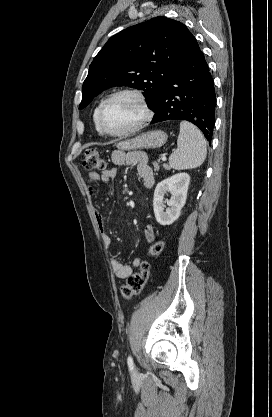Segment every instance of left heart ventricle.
Segmentation results:
<instances>
[{"mask_svg":"<svg viewBox=\"0 0 272 417\" xmlns=\"http://www.w3.org/2000/svg\"><path fill=\"white\" fill-rule=\"evenodd\" d=\"M142 116L141 105L134 97L120 96L106 107L103 125L110 132H120L138 123Z\"/></svg>","mask_w":272,"mask_h":417,"instance_id":"obj_1","label":"left heart ventricle"}]
</instances>
